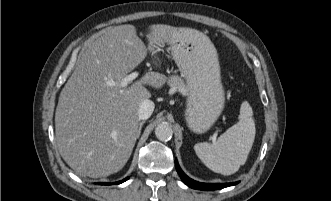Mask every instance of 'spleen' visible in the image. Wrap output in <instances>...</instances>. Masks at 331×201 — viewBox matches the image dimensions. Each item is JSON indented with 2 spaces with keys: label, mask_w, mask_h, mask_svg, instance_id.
Here are the masks:
<instances>
[{
  "label": "spleen",
  "mask_w": 331,
  "mask_h": 201,
  "mask_svg": "<svg viewBox=\"0 0 331 201\" xmlns=\"http://www.w3.org/2000/svg\"><path fill=\"white\" fill-rule=\"evenodd\" d=\"M252 115L249 103L243 102L239 121L220 135L216 142L195 144L197 156L209 169L223 175H231L245 164L256 133Z\"/></svg>",
  "instance_id": "1"
}]
</instances>
